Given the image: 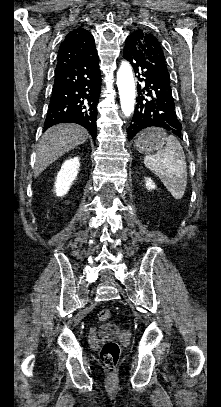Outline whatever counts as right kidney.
I'll return each instance as SVG.
<instances>
[{"label":"right kidney","instance_id":"obj_1","mask_svg":"<svg viewBox=\"0 0 221 407\" xmlns=\"http://www.w3.org/2000/svg\"><path fill=\"white\" fill-rule=\"evenodd\" d=\"M79 165L78 157L68 159L63 163L55 182L54 191L57 196L62 197L67 194L73 181L77 177Z\"/></svg>","mask_w":221,"mask_h":407}]
</instances>
